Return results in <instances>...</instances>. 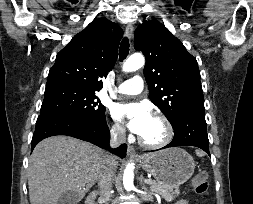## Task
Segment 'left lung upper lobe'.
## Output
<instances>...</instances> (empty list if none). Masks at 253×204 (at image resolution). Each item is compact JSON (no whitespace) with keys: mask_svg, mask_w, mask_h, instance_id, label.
<instances>
[{"mask_svg":"<svg viewBox=\"0 0 253 204\" xmlns=\"http://www.w3.org/2000/svg\"><path fill=\"white\" fill-rule=\"evenodd\" d=\"M134 46L146 58L149 97L172 126L183 114L205 109L197 61L164 25L157 21L139 25Z\"/></svg>","mask_w":253,"mask_h":204,"instance_id":"left-lung-upper-lobe-1","label":"left lung upper lobe"}]
</instances>
